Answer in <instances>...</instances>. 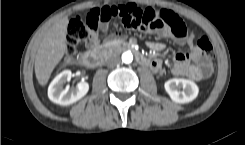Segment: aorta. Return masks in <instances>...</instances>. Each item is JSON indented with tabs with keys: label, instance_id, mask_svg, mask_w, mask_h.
Segmentation results:
<instances>
[{
	"label": "aorta",
	"instance_id": "762f6f07",
	"mask_svg": "<svg viewBox=\"0 0 245 145\" xmlns=\"http://www.w3.org/2000/svg\"><path fill=\"white\" fill-rule=\"evenodd\" d=\"M133 60V55L131 52H125L122 54V61L125 63V64H129L131 63Z\"/></svg>",
	"mask_w": 245,
	"mask_h": 145
}]
</instances>
